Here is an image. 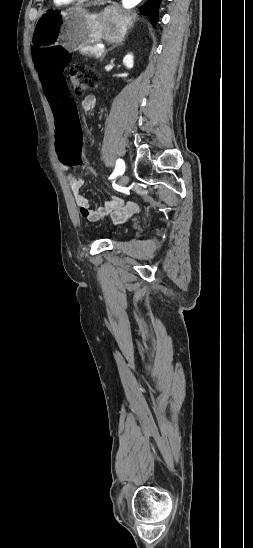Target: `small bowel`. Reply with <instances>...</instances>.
I'll list each match as a JSON object with an SVG mask.
<instances>
[{
	"label": "small bowel",
	"mask_w": 253,
	"mask_h": 548,
	"mask_svg": "<svg viewBox=\"0 0 253 548\" xmlns=\"http://www.w3.org/2000/svg\"><path fill=\"white\" fill-rule=\"evenodd\" d=\"M55 60H62V59H55ZM67 61L68 60H66V62ZM46 99H47V96H46ZM95 105H96V99L93 95H88L81 102V108L84 111L93 110ZM51 110H52V107H51ZM59 162L62 169L64 170L68 169L69 166L62 165L61 159H59ZM67 178L72 190V194L75 198V202L77 206L80 208V213L83 217L87 218L88 220L93 221L98 219L99 217L110 216L114 221L122 222L139 211V205L136 202H133V201L124 202L122 199L118 197H112L107 207H101L99 209L94 210L91 208L88 199L81 193V189L84 185V179L75 177L72 174H69Z\"/></svg>",
	"instance_id": "obj_1"
}]
</instances>
